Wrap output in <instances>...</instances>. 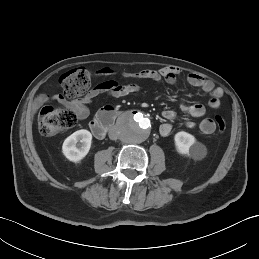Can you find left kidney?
<instances>
[{"mask_svg": "<svg viewBox=\"0 0 259 259\" xmlns=\"http://www.w3.org/2000/svg\"><path fill=\"white\" fill-rule=\"evenodd\" d=\"M174 142L177 151L182 155L192 156L195 150L202 147L201 144L196 143V139L193 135L180 131L175 134Z\"/></svg>", "mask_w": 259, "mask_h": 259, "instance_id": "5707ae66", "label": "left kidney"}]
</instances>
